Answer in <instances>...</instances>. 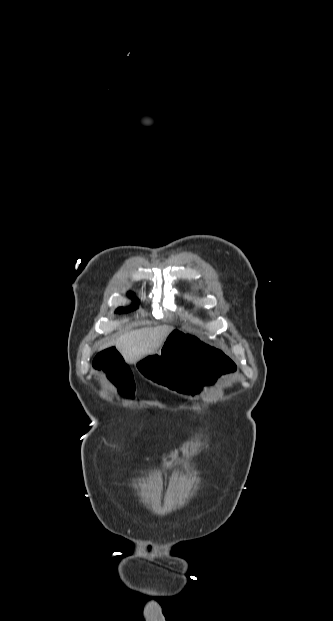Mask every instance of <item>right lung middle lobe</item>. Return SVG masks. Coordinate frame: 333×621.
Returning a JSON list of instances; mask_svg holds the SVG:
<instances>
[{
    "label": "right lung middle lobe",
    "instance_id": "right-lung-middle-lobe-1",
    "mask_svg": "<svg viewBox=\"0 0 333 621\" xmlns=\"http://www.w3.org/2000/svg\"><path fill=\"white\" fill-rule=\"evenodd\" d=\"M129 295H130V296L133 298V300H134V303H133L132 307H130V308H122V307H121V308H118V309L116 310V312H118V313H123V312H128V311H130V310H133V309H136V308H137L138 300L134 298V295H133L132 293H129Z\"/></svg>",
    "mask_w": 333,
    "mask_h": 621
}]
</instances>
